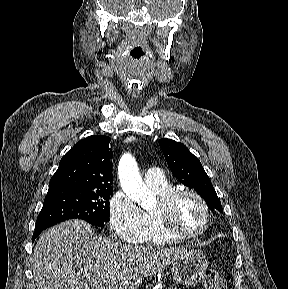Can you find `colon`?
<instances>
[{"label":"colon","instance_id":"colon-1","mask_svg":"<svg viewBox=\"0 0 288 289\" xmlns=\"http://www.w3.org/2000/svg\"><path fill=\"white\" fill-rule=\"evenodd\" d=\"M205 289H226L224 278L214 269H208L203 275Z\"/></svg>","mask_w":288,"mask_h":289}]
</instances>
